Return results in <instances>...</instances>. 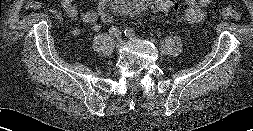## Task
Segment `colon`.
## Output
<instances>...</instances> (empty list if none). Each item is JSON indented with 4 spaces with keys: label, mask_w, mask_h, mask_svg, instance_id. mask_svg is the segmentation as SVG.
<instances>
[{
    "label": "colon",
    "mask_w": 253,
    "mask_h": 131,
    "mask_svg": "<svg viewBox=\"0 0 253 131\" xmlns=\"http://www.w3.org/2000/svg\"><path fill=\"white\" fill-rule=\"evenodd\" d=\"M178 6L177 0H154L152 7L159 12H167L172 9H176ZM216 11L226 17L236 21L242 20V13L232 6L217 7ZM100 20L105 26H111L114 24V15L109 11H105L101 14Z\"/></svg>",
    "instance_id": "5ec220e1"
}]
</instances>
